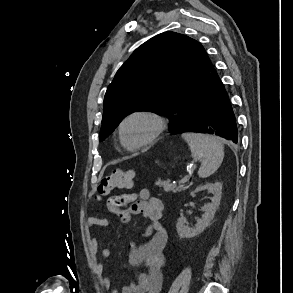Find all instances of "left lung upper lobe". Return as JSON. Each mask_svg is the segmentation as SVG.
<instances>
[{
    "label": "left lung upper lobe",
    "instance_id": "left-lung-upper-lobe-1",
    "mask_svg": "<svg viewBox=\"0 0 293 293\" xmlns=\"http://www.w3.org/2000/svg\"><path fill=\"white\" fill-rule=\"evenodd\" d=\"M213 69L203 46L185 35L164 32L137 48L119 68L104 97L99 140L127 115L155 110L170 118V131L203 88Z\"/></svg>",
    "mask_w": 293,
    "mask_h": 293
}]
</instances>
